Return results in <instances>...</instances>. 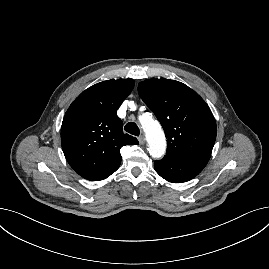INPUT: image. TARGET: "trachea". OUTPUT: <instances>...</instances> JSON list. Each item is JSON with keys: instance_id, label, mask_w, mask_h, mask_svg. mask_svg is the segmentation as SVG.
I'll return each instance as SVG.
<instances>
[{"instance_id": "trachea-1", "label": "trachea", "mask_w": 269, "mask_h": 269, "mask_svg": "<svg viewBox=\"0 0 269 269\" xmlns=\"http://www.w3.org/2000/svg\"><path fill=\"white\" fill-rule=\"evenodd\" d=\"M124 130L132 135L139 136L140 130L134 122H129L125 125Z\"/></svg>"}]
</instances>
